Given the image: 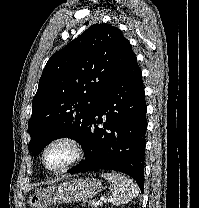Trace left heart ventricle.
I'll use <instances>...</instances> for the list:
<instances>
[{
    "label": "left heart ventricle",
    "mask_w": 199,
    "mask_h": 208,
    "mask_svg": "<svg viewBox=\"0 0 199 208\" xmlns=\"http://www.w3.org/2000/svg\"><path fill=\"white\" fill-rule=\"evenodd\" d=\"M74 155V150L67 143H57L51 146L46 153V162L52 168L60 167L69 162Z\"/></svg>",
    "instance_id": "obj_1"
}]
</instances>
